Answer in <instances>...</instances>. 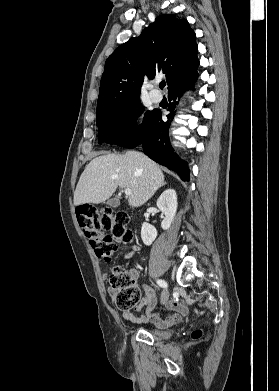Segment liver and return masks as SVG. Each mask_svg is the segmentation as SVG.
I'll return each instance as SVG.
<instances>
[{
	"label": "liver",
	"mask_w": 279,
	"mask_h": 391,
	"mask_svg": "<svg viewBox=\"0 0 279 391\" xmlns=\"http://www.w3.org/2000/svg\"><path fill=\"white\" fill-rule=\"evenodd\" d=\"M163 184L164 174L158 164L141 152L101 155L91 160L81 174L74 204L102 203L120 186L132 191L127 196L129 206L140 207Z\"/></svg>",
	"instance_id": "obj_1"
}]
</instances>
